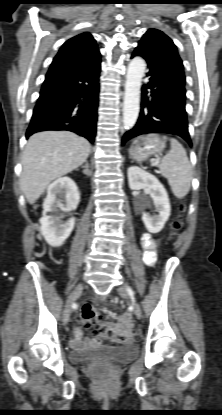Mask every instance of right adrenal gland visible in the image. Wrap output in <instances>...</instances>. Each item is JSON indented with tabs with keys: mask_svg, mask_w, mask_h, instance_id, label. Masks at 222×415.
Instances as JSON below:
<instances>
[{
	"mask_svg": "<svg viewBox=\"0 0 222 415\" xmlns=\"http://www.w3.org/2000/svg\"><path fill=\"white\" fill-rule=\"evenodd\" d=\"M84 168V173L89 174V169H88V163H86L84 166H82Z\"/></svg>",
	"mask_w": 222,
	"mask_h": 415,
	"instance_id": "obj_1",
	"label": "right adrenal gland"
}]
</instances>
